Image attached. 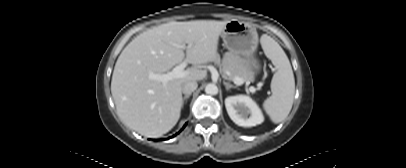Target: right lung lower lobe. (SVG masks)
Returning a JSON list of instances; mask_svg holds the SVG:
<instances>
[{"mask_svg":"<svg viewBox=\"0 0 406 168\" xmlns=\"http://www.w3.org/2000/svg\"><path fill=\"white\" fill-rule=\"evenodd\" d=\"M185 126H186V124L184 125V127H185ZM184 127H183V128H184ZM183 128H182V129H183ZM177 134H178V133H177ZM174 136H176V134H175Z\"/></svg>","mask_w":406,"mask_h":168,"instance_id":"1","label":"right lung lower lobe"}]
</instances>
